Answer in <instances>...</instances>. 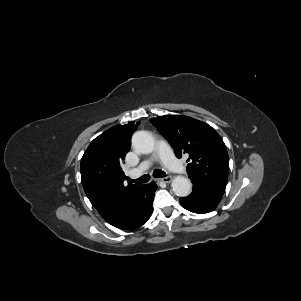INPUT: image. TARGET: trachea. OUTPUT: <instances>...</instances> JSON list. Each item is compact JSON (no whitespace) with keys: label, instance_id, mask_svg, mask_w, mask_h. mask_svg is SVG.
<instances>
[{"label":"trachea","instance_id":"3493384b","mask_svg":"<svg viewBox=\"0 0 301 301\" xmlns=\"http://www.w3.org/2000/svg\"><path fill=\"white\" fill-rule=\"evenodd\" d=\"M153 176L155 178H163V177H166V173L164 171H161V170H155L153 172ZM129 181L133 182V183H136V184H142V183H146L150 180V176L148 174H145L137 179H128Z\"/></svg>","mask_w":301,"mask_h":301}]
</instances>
